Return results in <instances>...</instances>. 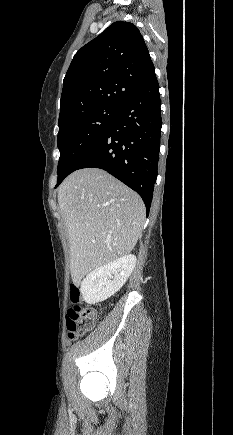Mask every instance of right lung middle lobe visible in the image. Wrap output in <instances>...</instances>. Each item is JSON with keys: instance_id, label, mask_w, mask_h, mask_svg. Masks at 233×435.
Returning <instances> with one entry per match:
<instances>
[{"instance_id": "obj_1", "label": "right lung middle lobe", "mask_w": 233, "mask_h": 435, "mask_svg": "<svg viewBox=\"0 0 233 435\" xmlns=\"http://www.w3.org/2000/svg\"><path fill=\"white\" fill-rule=\"evenodd\" d=\"M120 107L100 106L59 123L58 148L60 158L58 180L104 134L118 114Z\"/></svg>"}]
</instances>
